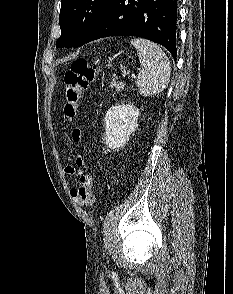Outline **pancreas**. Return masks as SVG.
I'll return each mask as SVG.
<instances>
[{
	"label": "pancreas",
	"instance_id": "pancreas-1",
	"mask_svg": "<svg viewBox=\"0 0 233 294\" xmlns=\"http://www.w3.org/2000/svg\"><path fill=\"white\" fill-rule=\"evenodd\" d=\"M110 88H114L116 91H123L124 84L120 81H116V79H112V82L109 85Z\"/></svg>",
	"mask_w": 233,
	"mask_h": 294
}]
</instances>
